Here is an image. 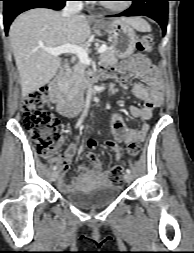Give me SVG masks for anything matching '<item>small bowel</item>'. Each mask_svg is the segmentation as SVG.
Listing matches in <instances>:
<instances>
[{"instance_id":"obj_1","label":"small bowel","mask_w":194,"mask_h":253,"mask_svg":"<svg viewBox=\"0 0 194 253\" xmlns=\"http://www.w3.org/2000/svg\"><path fill=\"white\" fill-rule=\"evenodd\" d=\"M157 72V66H151L147 58L139 55L132 56L111 69L104 67L101 70V75L103 77L116 79L124 89H128L127 82L129 78H138L140 82L135 83L131 91L135 97L145 102L143 107H130L132 116L144 120L139 129L128 128L118 114H114L112 117L111 134L115 140H107L104 144L113 152L114 158L117 161L122 158L118 143H125L128 146L132 142L141 143L150 129L148 120L152 117L153 110L161 106L163 102V86L161 82L154 77V74H157ZM64 142V140L61 141V143ZM76 152V144L74 142H69L64 154L53 160L59 167L58 187L60 190L64 192L71 191L87 176H91L102 183H106L111 179V169L102 170L100 161L93 153L89 152L86 154V157L92 160V168L86 165H80V177L73 178L71 183L67 182L65 174Z\"/></svg>"}]
</instances>
